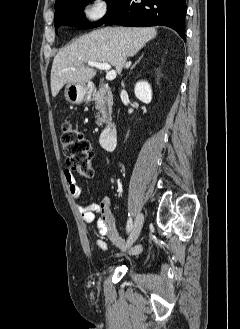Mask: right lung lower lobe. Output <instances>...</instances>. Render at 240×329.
<instances>
[{"instance_id": "98d812e1", "label": "right lung lower lobe", "mask_w": 240, "mask_h": 329, "mask_svg": "<svg viewBox=\"0 0 240 329\" xmlns=\"http://www.w3.org/2000/svg\"><path fill=\"white\" fill-rule=\"evenodd\" d=\"M185 0H124L103 23L123 26L164 25L174 29L185 40Z\"/></svg>"}]
</instances>
